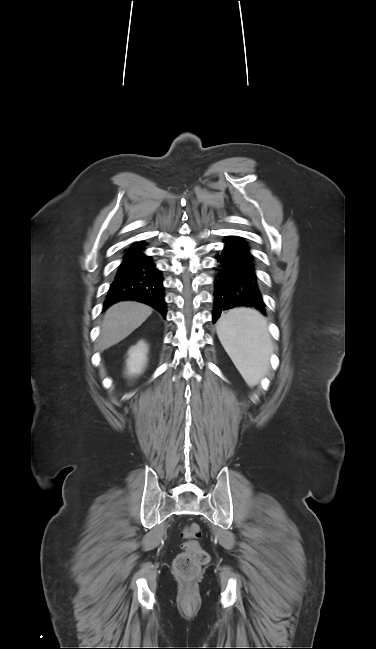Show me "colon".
I'll use <instances>...</instances> for the list:
<instances>
[{
    "label": "colon",
    "mask_w": 376,
    "mask_h": 649,
    "mask_svg": "<svg viewBox=\"0 0 376 649\" xmlns=\"http://www.w3.org/2000/svg\"><path fill=\"white\" fill-rule=\"evenodd\" d=\"M181 533L185 542L182 544L183 552L174 559V572L181 578L192 579L209 562V555L198 543L201 529L197 523L187 524Z\"/></svg>",
    "instance_id": "colon-1"
}]
</instances>
